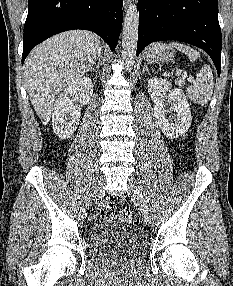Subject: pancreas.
I'll return each instance as SVG.
<instances>
[{
    "mask_svg": "<svg viewBox=\"0 0 233 286\" xmlns=\"http://www.w3.org/2000/svg\"><path fill=\"white\" fill-rule=\"evenodd\" d=\"M175 82L180 87H182L185 84V82H184V80L182 78H177Z\"/></svg>",
    "mask_w": 233,
    "mask_h": 286,
    "instance_id": "obj_1",
    "label": "pancreas"
}]
</instances>
